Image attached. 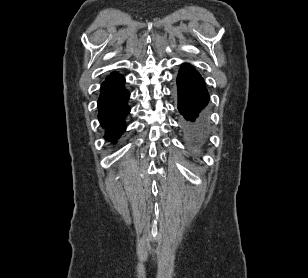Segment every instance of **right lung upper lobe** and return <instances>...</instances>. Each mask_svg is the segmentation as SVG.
Masks as SVG:
<instances>
[{
  "label": "right lung upper lobe",
  "mask_w": 308,
  "mask_h": 278,
  "mask_svg": "<svg viewBox=\"0 0 308 278\" xmlns=\"http://www.w3.org/2000/svg\"><path fill=\"white\" fill-rule=\"evenodd\" d=\"M122 76L117 74V73H114V74H111L110 76H108L106 78V81H109V80H114V79H118V78H121Z\"/></svg>",
  "instance_id": "obj_1"
}]
</instances>
